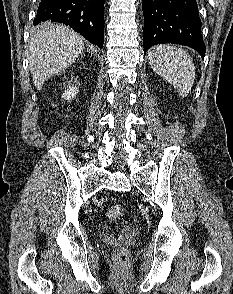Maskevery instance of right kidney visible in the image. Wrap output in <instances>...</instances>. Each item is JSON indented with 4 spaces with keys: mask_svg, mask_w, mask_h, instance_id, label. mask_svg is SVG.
<instances>
[{
    "mask_svg": "<svg viewBox=\"0 0 233 294\" xmlns=\"http://www.w3.org/2000/svg\"><path fill=\"white\" fill-rule=\"evenodd\" d=\"M78 90H77V87L76 86H72V87H69L62 95V98L66 99V100H71L73 99L76 94H77Z\"/></svg>",
    "mask_w": 233,
    "mask_h": 294,
    "instance_id": "right-kidney-1",
    "label": "right kidney"
}]
</instances>
